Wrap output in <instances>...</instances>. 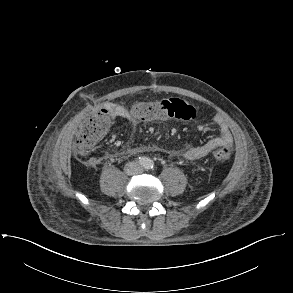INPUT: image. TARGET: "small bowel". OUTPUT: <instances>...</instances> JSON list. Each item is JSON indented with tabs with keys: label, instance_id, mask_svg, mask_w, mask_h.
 <instances>
[{
	"label": "small bowel",
	"instance_id": "c3829d8e",
	"mask_svg": "<svg viewBox=\"0 0 293 293\" xmlns=\"http://www.w3.org/2000/svg\"><path fill=\"white\" fill-rule=\"evenodd\" d=\"M105 108L115 118L125 119L132 124H137L139 122V120L135 119L132 116L131 112L122 105L115 104V103H108L105 105ZM215 124L218 126L219 136L212 140H209L208 142L202 145L187 149L183 153V156L186 159L191 161H196L205 157L211 152L214 144H220L227 147L232 145L233 137L228 125L222 119H219V118L215 120ZM89 163L91 165H96L98 163V159L93 157L89 160Z\"/></svg>",
	"mask_w": 293,
	"mask_h": 293
}]
</instances>
